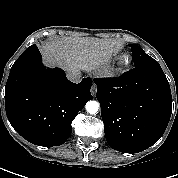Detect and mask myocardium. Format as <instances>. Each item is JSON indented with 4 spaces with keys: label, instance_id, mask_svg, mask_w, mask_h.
Here are the masks:
<instances>
[{
    "label": "myocardium",
    "instance_id": "1",
    "mask_svg": "<svg viewBox=\"0 0 178 178\" xmlns=\"http://www.w3.org/2000/svg\"><path fill=\"white\" fill-rule=\"evenodd\" d=\"M130 61L131 60H130L129 56L128 55H124L122 57V61H121L122 68H127L129 66V64H130Z\"/></svg>",
    "mask_w": 178,
    "mask_h": 178
}]
</instances>
